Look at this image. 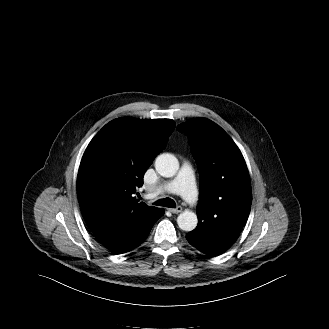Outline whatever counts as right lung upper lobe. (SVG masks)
<instances>
[{
    "label": "right lung upper lobe",
    "instance_id": "right-lung-upper-lobe-1",
    "mask_svg": "<svg viewBox=\"0 0 329 329\" xmlns=\"http://www.w3.org/2000/svg\"><path fill=\"white\" fill-rule=\"evenodd\" d=\"M174 128L170 119L118 118L91 140L80 163L77 194L92 232L109 222L133 221L159 209L138 204L133 194Z\"/></svg>",
    "mask_w": 329,
    "mask_h": 329
}]
</instances>
